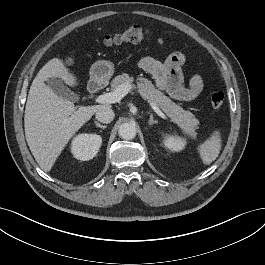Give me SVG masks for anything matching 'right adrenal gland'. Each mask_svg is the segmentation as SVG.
<instances>
[{
  "mask_svg": "<svg viewBox=\"0 0 265 265\" xmlns=\"http://www.w3.org/2000/svg\"><path fill=\"white\" fill-rule=\"evenodd\" d=\"M94 123H95V125H96L97 127H99V128H102V129H106V128H107L106 125H102V124H100V123L97 122V121H95Z\"/></svg>",
  "mask_w": 265,
  "mask_h": 265,
  "instance_id": "right-adrenal-gland-1",
  "label": "right adrenal gland"
}]
</instances>
